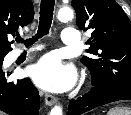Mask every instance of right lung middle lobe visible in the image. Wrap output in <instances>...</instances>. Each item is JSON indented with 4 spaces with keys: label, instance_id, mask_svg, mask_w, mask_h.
Returning a JSON list of instances; mask_svg holds the SVG:
<instances>
[{
    "label": "right lung middle lobe",
    "instance_id": "obj_1",
    "mask_svg": "<svg viewBox=\"0 0 131 115\" xmlns=\"http://www.w3.org/2000/svg\"><path fill=\"white\" fill-rule=\"evenodd\" d=\"M3 58H0V68L2 66Z\"/></svg>",
    "mask_w": 131,
    "mask_h": 115
}]
</instances>
